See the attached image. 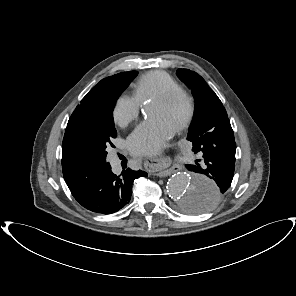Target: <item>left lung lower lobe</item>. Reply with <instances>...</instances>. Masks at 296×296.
Here are the masks:
<instances>
[{
  "label": "left lung lower lobe",
  "mask_w": 296,
  "mask_h": 296,
  "mask_svg": "<svg viewBox=\"0 0 296 296\" xmlns=\"http://www.w3.org/2000/svg\"><path fill=\"white\" fill-rule=\"evenodd\" d=\"M203 147V164L186 165L195 176H204L215 181L218 190L199 200H193V212H202L214 205L227 192L231 185L234 167L236 144L230 121H224L212 131L206 133ZM200 161V159H199Z\"/></svg>",
  "instance_id": "obj_1"
}]
</instances>
